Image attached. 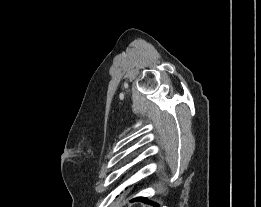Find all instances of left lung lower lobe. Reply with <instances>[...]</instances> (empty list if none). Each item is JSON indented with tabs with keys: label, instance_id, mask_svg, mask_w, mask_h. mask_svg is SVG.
I'll use <instances>...</instances> for the list:
<instances>
[{
	"label": "left lung lower lobe",
	"instance_id": "1",
	"mask_svg": "<svg viewBox=\"0 0 261 207\" xmlns=\"http://www.w3.org/2000/svg\"><path fill=\"white\" fill-rule=\"evenodd\" d=\"M132 201H142V202L150 203V204L153 205V206L159 207L158 204L153 203V202H149V201L147 200V198H144V197H138V198L133 199Z\"/></svg>",
	"mask_w": 261,
	"mask_h": 207
}]
</instances>
